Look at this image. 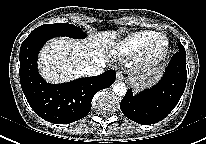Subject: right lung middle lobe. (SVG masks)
I'll use <instances>...</instances> for the list:
<instances>
[{
    "instance_id": "obj_1",
    "label": "right lung middle lobe",
    "mask_w": 206,
    "mask_h": 144,
    "mask_svg": "<svg viewBox=\"0 0 206 144\" xmlns=\"http://www.w3.org/2000/svg\"><path fill=\"white\" fill-rule=\"evenodd\" d=\"M30 34H43L50 37L66 36L71 38H85L86 34L82 28L73 24L59 23V24H45L34 29Z\"/></svg>"
}]
</instances>
